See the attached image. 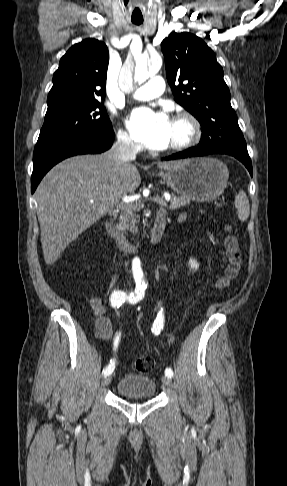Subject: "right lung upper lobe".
I'll return each instance as SVG.
<instances>
[{"label": "right lung upper lobe", "mask_w": 287, "mask_h": 486, "mask_svg": "<svg viewBox=\"0 0 287 486\" xmlns=\"http://www.w3.org/2000/svg\"><path fill=\"white\" fill-rule=\"evenodd\" d=\"M109 54L107 46L96 39L73 45L61 58L53 75L47 105L104 99Z\"/></svg>", "instance_id": "cb5924a9"}]
</instances>
